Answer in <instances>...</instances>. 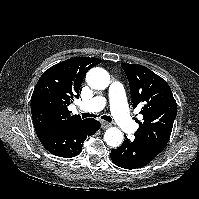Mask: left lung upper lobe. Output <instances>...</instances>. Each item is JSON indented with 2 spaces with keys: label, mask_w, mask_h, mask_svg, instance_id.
<instances>
[{
  "label": "left lung upper lobe",
  "mask_w": 199,
  "mask_h": 199,
  "mask_svg": "<svg viewBox=\"0 0 199 199\" xmlns=\"http://www.w3.org/2000/svg\"><path fill=\"white\" fill-rule=\"evenodd\" d=\"M131 89L134 108L142 106L143 121L135 136L163 150L168 143L177 115V104L167 82L138 64H122Z\"/></svg>",
  "instance_id": "left-lung-upper-lobe-1"
}]
</instances>
